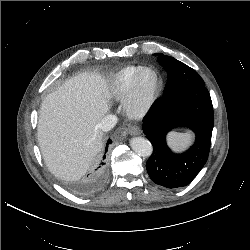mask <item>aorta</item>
Instances as JSON below:
<instances>
[{
  "mask_svg": "<svg viewBox=\"0 0 250 250\" xmlns=\"http://www.w3.org/2000/svg\"><path fill=\"white\" fill-rule=\"evenodd\" d=\"M130 146L141 157H149L153 151L150 141L143 137H133L130 140Z\"/></svg>",
  "mask_w": 250,
  "mask_h": 250,
  "instance_id": "aorta-1",
  "label": "aorta"
}]
</instances>
